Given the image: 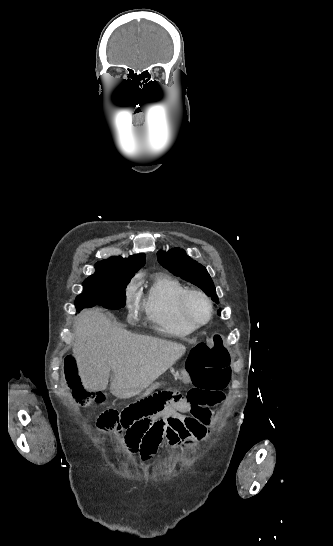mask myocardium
Wrapping results in <instances>:
<instances>
[{"label": "myocardium", "mask_w": 333, "mask_h": 546, "mask_svg": "<svg viewBox=\"0 0 333 546\" xmlns=\"http://www.w3.org/2000/svg\"><path fill=\"white\" fill-rule=\"evenodd\" d=\"M195 299H199L203 301L208 308V315L202 321L197 320L191 312V305L193 300ZM180 309L184 319L195 328H199L206 325L213 316V304L211 299L204 292L200 290H196V289H188L183 294L180 300Z\"/></svg>", "instance_id": "myocardium-1"}]
</instances>
